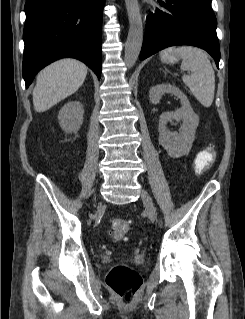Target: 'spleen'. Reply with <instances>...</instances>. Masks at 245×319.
<instances>
[{
    "label": "spleen",
    "instance_id": "obj_1",
    "mask_svg": "<svg viewBox=\"0 0 245 319\" xmlns=\"http://www.w3.org/2000/svg\"><path fill=\"white\" fill-rule=\"evenodd\" d=\"M174 53L183 59L181 69L191 72L182 77L183 83L204 107H210L214 99L215 74L208 56L193 46L178 47Z\"/></svg>",
    "mask_w": 245,
    "mask_h": 319
}]
</instances>
